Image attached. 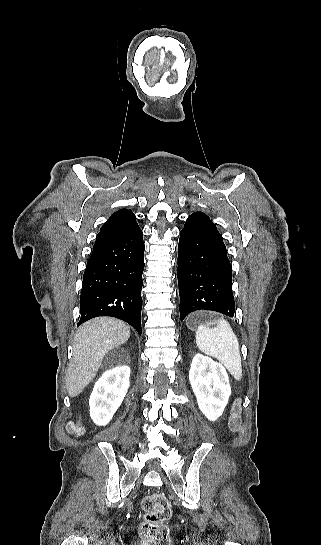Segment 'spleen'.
<instances>
[{
	"label": "spleen",
	"instance_id": "obj_1",
	"mask_svg": "<svg viewBox=\"0 0 321 545\" xmlns=\"http://www.w3.org/2000/svg\"><path fill=\"white\" fill-rule=\"evenodd\" d=\"M195 339L202 353L217 359L236 381H241L242 363L239 343L227 321L217 319L212 323H202L197 327Z\"/></svg>",
	"mask_w": 321,
	"mask_h": 545
}]
</instances>
